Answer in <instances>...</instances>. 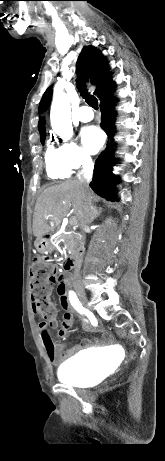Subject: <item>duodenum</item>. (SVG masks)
Returning a JSON list of instances; mask_svg holds the SVG:
<instances>
[{"label":"duodenum","mask_w":165,"mask_h":461,"mask_svg":"<svg viewBox=\"0 0 165 461\" xmlns=\"http://www.w3.org/2000/svg\"><path fill=\"white\" fill-rule=\"evenodd\" d=\"M82 255H83V245L81 241H78L77 248H76L74 255L71 258L67 259L66 261V269L67 270L75 269Z\"/></svg>","instance_id":"410a0bca"}]
</instances>
